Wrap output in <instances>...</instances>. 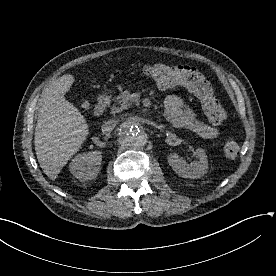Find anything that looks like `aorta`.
Returning <instances> with one entry per match:
<instances>
[{
	"label": "aorta",
	"instance_id": "obj_1",
	"mask_svg": "<svg viewBox=\"0 0 276 276\" xmlns=\"http://www.w3.org/2000/svg\"><path fill=\"white\" fill-rule=\"evenodd\" d=\"M121 142L128 148L138 149L147 142V136L135 121H126L120 125L118 131Z\"/></svg>",
	"mask_w": 276,
	"mask_h": 276
}]
</instances>
